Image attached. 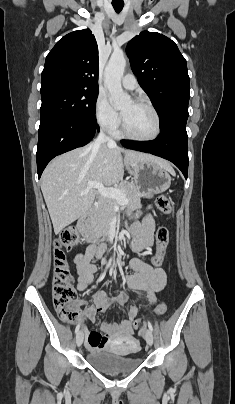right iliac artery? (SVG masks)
<instances>
[{"instance_id": "82829eb1", "label": "right iliac artery", "mask_w": 235, "mask_h": 404, "mask_svg": "<svg viewBox=\"0 0 235 404\" xmlns=\"http://www.w3.org/2000/svg\"><path fill=\"white\" fill-rule=\"evenodd\" d=\"M111 261H112V258H110L109 263H108V265H107V268L109 267ZM79 328H80V325H77V327H76V329H75V333H78Z\"/></svg>"}]
</instances>
